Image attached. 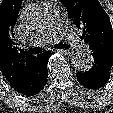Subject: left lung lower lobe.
Returning a JSON list of instances; mask_svg holds the SVG:
<instances>
[{
  "label": "left lung lower lobe",
  "instance_id": "left-lung-lower-lobe-1",
  "mask_svg": "<svg viewBox=\"0 0 113 113\" xmlns=\"http://www.w3.org/2000/svg\"><path fill=\"white\" fill-rule=\"evenodd\" d=\"M92 56L94 58L92 68L86 72L76 73V77L81 85L95 90L105 85L109 80L113 57L98 52H93Z\"/></svg>",
  "mask_w": 113,
  "mask_h": 113
}]
</instances>
